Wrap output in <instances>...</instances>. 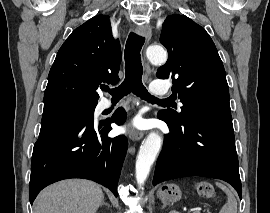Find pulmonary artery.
I'll use <instances>...</instances> for the list:
<instances>
[{
  "label": "pulmonary artery",
  "instance_id": "obj_1",
  "mask_svg": "<svg viewBox=\"0 0 270 213\" xmlns=\"http://www.w3.org/2000/svg\"><path fill=\"white\" fill-rule=\"evenodd\" d=\"M151 92L155 96L166 95L169 92V86L165 81H154L151 85ZM111 106L110 101H106L104 104L105 108H109Z\"/></svg>",
  "mask_w": 270,
  "mask_h": 213
}]
</instances>
